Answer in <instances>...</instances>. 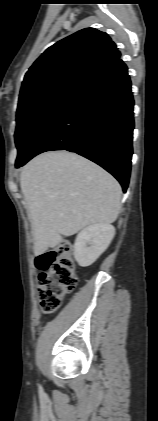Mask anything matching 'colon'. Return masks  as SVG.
<instances>
[{"label":"colon","mask_w":158,"mask_h":421,"mask_svg":"<svg viewBox=\"0 0 158 421\" xmlns=\"http://www.w3.org/2000/svg\"><path fill=\"white\" fill-rule=\"evenodd\" d=\"M36 266L41 271L37 288L40 306L45 313L54 312L78 282L71 245L63 243L39 254Z\"/></svg>","instance_id":"1"}]
</instances>
